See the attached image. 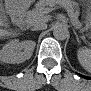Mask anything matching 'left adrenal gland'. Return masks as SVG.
<instances>
[{"label":"left adrenal gland","mask_w":91,"mask_h":91,"mask_svg":"<svg viewBox=\"0 0 91 91\" xmlns=\"http://www.w3.org/2000/svg\"><path fill=\"white\" fill-rule=\"evenodd\" d=\"M73 32H74V34H75V36H76V40L78 41V43H80L79 37H78V35H77L75 29H73Z\"/></svg>","instance_id":"1"}]
</instances>
